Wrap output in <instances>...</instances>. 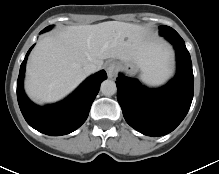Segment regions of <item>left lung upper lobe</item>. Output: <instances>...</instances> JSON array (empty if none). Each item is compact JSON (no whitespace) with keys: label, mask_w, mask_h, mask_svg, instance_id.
I'll return each instance as SVG.
<instances>
[{"label":"left lung upper lobe","mask_w":219,"mask_h":174,"mask_svg":"<svg viewBox=\"0 0 219 174\" xmlns=\"http://www.w3.org/2000/svg\"><path fill=\"white\" fill-rule=\"evenodd\" d=\"M159 30H160V34L162 36H167V35H171V34H178L173 28H171L169 26H165V25L160 26Z\"/></svg>","instance_id":"5c2ea615"}]
</instances>
